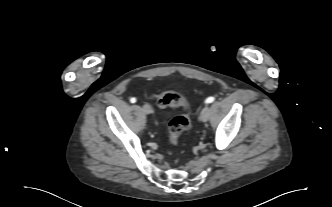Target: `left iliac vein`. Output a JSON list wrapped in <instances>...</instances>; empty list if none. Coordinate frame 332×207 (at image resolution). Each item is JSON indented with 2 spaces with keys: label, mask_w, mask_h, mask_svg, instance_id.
I'll list each match as a JSON object with an SVG mask.
<instances>
[{
  "label": "left iliac vein",
  "mask_w": 332,
  "mask_h": 207,
  "mask_svg": "<svg viewBox=\"0 0 332 207\" xmlns=\"http://www.w3.org/2000/svg\"><path fill=\"white\" fill-rule=\"evenodd\" d=\"M209 116H210V108L209 106L206 105L201 111L200 118L203 122H206L209 119Z\"/></svg>",
  "instance_id": "obj_1"
}]
</instances>
